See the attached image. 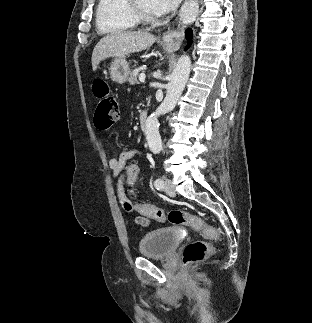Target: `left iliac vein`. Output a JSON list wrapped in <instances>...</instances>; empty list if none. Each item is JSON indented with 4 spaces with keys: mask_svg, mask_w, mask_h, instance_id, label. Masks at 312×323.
Returning a JSON list of instances; mask_svg holds the SVG:
<instances>
[{
    "mask_svg": "<svg viewBox=\"0 0 312 323\" xmlns=\"http://www.w3.org/2000/svg\"><path fill=\"white\" fill-rule=\"evenodd\" d=\"M164 190L168 195H175V189L172 185V182L170 179L166 178L164 181Z\"/></svg>",
    "mask_w": 312,
    "mask_h": 323,
    "instance_id": "left-iliac-vein-1",
    "label": "left iliac vein"
}]
</instances>
